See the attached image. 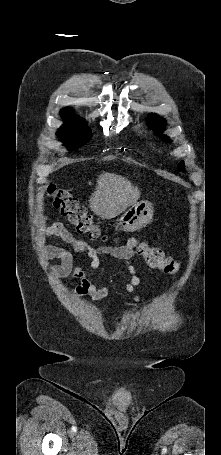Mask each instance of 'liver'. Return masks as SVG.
Returning <instances> with one entry per match:
<instances>
[{
	"mask_svg": "<svg viewBox=\"0 0 221 455\" xmlns=\"http://www.w3.org/2000/svg\"><path fill=\"white\" fill-rule=\"evenodd\" d=\"M139 197L138 187L133 186L128 179L103 172L98 176L89 206L102 219H111L135 204Z\"/></svg>",
	"mask_w": 221,
	"mask_h": 455,
	"instance_id": "6515ba94",
	"label": "liver"
}]
</instances>
